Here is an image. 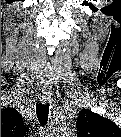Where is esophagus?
Wrapping results in <instances>:
<instances>
[{
  "label": "esophagus",
  "mask_w": 121,
  "mask_h": 137,
  "mask_svg": "<svg viewBox=\"0 0 121 137\" xmlns=\"http://www.w3.org/2000/svg\"><path fill=\"white\" fill-rule=\"evenodd\" d=\"M51 98V91L49 89H43L40 95V100L43 104H46Z\"/></svg>",
  "instance_id": "esophagus-1"
}]
</instances>
